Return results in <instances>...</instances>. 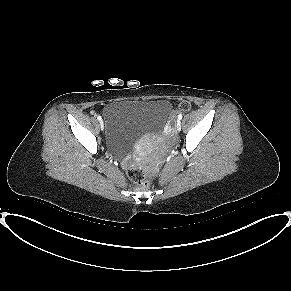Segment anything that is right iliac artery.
<instances>
[{"label": "right iliac artery", "mask_w": 291, "mask_h": 291, "mask_svg": "<svg viewBox=\"0 0 291 291\" xmlns=\"http://www.w3.org/2000/svg\"><path fill=\"white\" fill-rule=\"evenodd\" d=\"M97 119H98L99 121H101V120H102L101 116H97Z\"/></svg>", "instance_id": "1"}]
</instances>
